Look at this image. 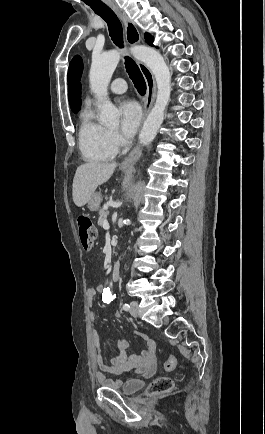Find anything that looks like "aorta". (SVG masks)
Returning a JSON list of instances; mask_svg holds the SVG:
<instances>
[{
    "mask_svg": "<svg viewBox=\"0 0 265 434\" xmlns=\"http://www.w3.org/2000/svg\"><path fill=\"white\" fill-rule=\"evenodd\" d=\"M130 54L144 62L145 66L154 74L157 84L156 102L139 134L140 144L148 146L157 136V132L164 122V112L169 104L171 94V74L170 70L160 52L147 46H134L130 48ZM122 52L110 50L101 56H92V64L89 72V82L91 92L97 98L104 100L100 110L99 122L106 126H119V112L107 98V88L121 58Z\"/></svg>",
    "mask_w": 265,
    "mask_h": 434,
    "instance_id": "obj_1",
    "label": "aorta"
}]
</instances>
